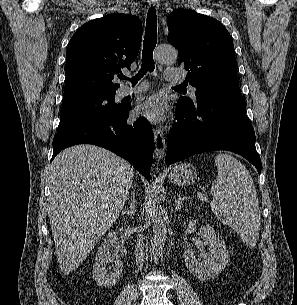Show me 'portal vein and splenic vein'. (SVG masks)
Here are the masks:
<instances>
[{
  "mask_svg": "<svg viewBox=\"0 0 297 305\" xmlns=\"http://www.w3.org/2000/svg\"><path fill=\"white\" fill-rule=\"evenodd\" d=\"M198 199L201 201H206L208 198L203 192L198 193Z\"/></svg>",
  "mask_w": 297,
  "mask_h": 305,
  "instance_id": "18ae733b",
  "label": "portal vein and splenic vein"
}]
</instances>
